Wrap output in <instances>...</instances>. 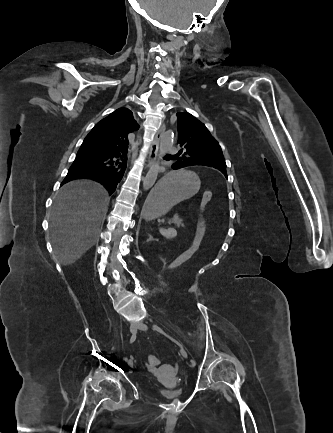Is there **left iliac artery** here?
<instances>
[{"label":"left iliac artery","instance_id":"44dca946","mask_svg":"<svg viewBox=\"0 0 333 433\" xmlns=\"http://www.w3.org/2000/svg\"><path fill=\"white\" fill-rule=\"evenodd\" d=\"M153 329L155 330V331H157V332H159V333H161V334H163V335H165V336H167V337H169V335L168 334H166L159 326H157V325H153ZM176 343L178 344V346L179 347H181V348H183V345L180 343V342H178V341H176Z\"/></svg>","mask_w":333,"mask_h":433}]
</instances>
